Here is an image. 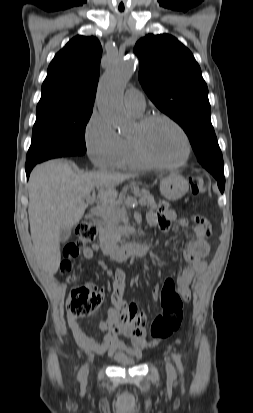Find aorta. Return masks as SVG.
I'll list each match as a JSON object with an SVG mask.
<instances>
[{
  "instance_id": "obj_1",
  "label": "aorta",
  "mask_w": 253,
  "mask_h": 413,
  "mask_svg": "<svg viewBox=\"0 0 253 413\" xmlns=\"http://www.w3.org/2000/svg\"><path fill=\"white\" fill-rule=\"evenodd\" d=\"M134 71V60L113 62L101 78L97 91L99 112L115 127L126 130L130 120L123 104V92Z\"/></svg>"
}]
</instances>
